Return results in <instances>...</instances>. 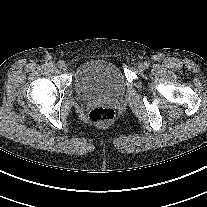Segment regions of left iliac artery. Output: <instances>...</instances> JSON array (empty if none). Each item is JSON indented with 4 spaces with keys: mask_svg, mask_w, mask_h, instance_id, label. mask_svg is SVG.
Instances as JSON below:
<instances>
[{
    "mask_svg": "<svg viewBox=\"0 0 207 207\" xmlns=\"http://www.w3.org/2000/svg\"><path fill=\"white\" fill-rule=\"evenodd\" d=\"M145 66H146V68H148L150 65L148 62H145Z\"/></svg>",
    "mask_w": 207,
    "mask_h": 207,
    "instance_id": "obj_1",
    "label": "left iliac artery"
}]
</instances>
